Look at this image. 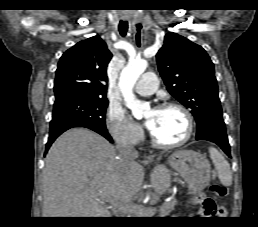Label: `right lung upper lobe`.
Masks as SVG:
<instances>
[{"label": "right lung upper lobe", "instance_id": "1", "mask_svg": "<svg viewBox=\"0 0 258 227\" xmlns=\"http://www.w3.org/2000/svg\"><path fill=\"white\" fill-rule=\"evenodd\" d=\"M111 58L112 53L99 36L80 41L59 60L54 84L55 95L77 93L106 98V68Z\"/></svg>", "mask_w": 258, "mask_h": 227}]
</instances>
